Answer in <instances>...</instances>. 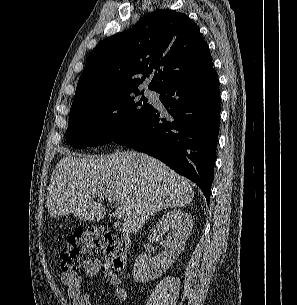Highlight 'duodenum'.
<instances>
[{
	"mask_svg": "<svg viewBox=\"0 0 297 305\" xmlns=\"http://www.w3.org/2000/svg\"><path fill=\"white\" fill-rule=\"evenodd\" d=\"M115 226H116V228L119 231H123L125 233L124 234V242H125L126 245L131 246L132 240H131L130 236L127 234V232H126L125 225L122 224V223H118Z\"/></svg>",
	"mask_w": 297,
	"mask_h": 305,
	"instance_id": "1",
	"label": "duodenum"
}]
</instances>
